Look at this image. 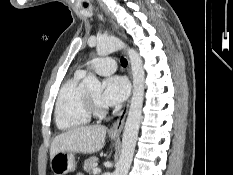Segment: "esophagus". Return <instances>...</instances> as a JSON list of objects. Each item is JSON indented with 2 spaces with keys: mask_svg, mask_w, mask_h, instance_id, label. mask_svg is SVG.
I'll use <instances>...</instances> for the list:
<instances>
[{
  "mask_svg": "<svg viewBox=\"0 0 233 175\" xmlns=\"http://www.w3.org/2000/svg\"><path fill=\"white\" fill-rule=\"evenodd\" d=\"M109 21L111 22L114 30L117 31L118 30L117 25L113 22V20L109 19ZM128 72H129V76L131 78L130 65L128 67ZM129 104H130V99L127 101L124 108L120 112L119 117L117 118V120L114 122V124L110 128L109 133L111 135H119L121 133V131L123 129V126H124L125 118H126V115H127V112H128Z\"/></svg>",
  "mask_w": 233,
  "mask_h": 175,
  "instance_id": "1",
  "label": "esophagus"
}]
</instances>
